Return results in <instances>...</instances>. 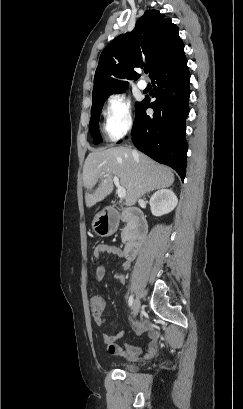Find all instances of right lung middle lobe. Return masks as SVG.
Returning a JSON list of instances; mask_svg holds the SVG:
<instances>
[{
  "label": "right lung middle lobe",
  "mask_w": 243,
  "mask_h": 409,
  "mask_svg": "<svg viewBox=\"0 0 243 409\" xmlns=\"http://www.w3.org/2000/svg\"><path fill=\"white\" fill-rule=\"evenodd\" d=\"M121 91H119L118 93H120ZM108 96L98 99V100H92V108H91V119H90V123H89V129H90V133L93 136L94 139V144H99L102 142V137L99 133V116H100V112L101 109L103 107L104 101L106 100ZM139 103H136V106H138Z\"/></svg>",
  "instance_id": "1"
}]
</instances>
